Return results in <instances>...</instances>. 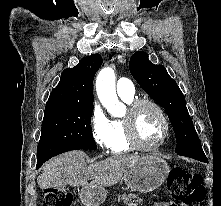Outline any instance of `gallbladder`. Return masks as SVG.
I'll list each match as a JSON object with an SVG mask.
<instances>
[{
	"label": "gallbladder",
	"instance_id": "bac80fb5",
	"mask_svg": "<svg viewBox=\"0 0 221 206\" xmlns=\"http://www.w3.org/2000/svg\"><path fill=\"white\" fill-rule=\"evenodd\" d=\"M60 184H64L63 181L54 180V181H39V186L41 190H57Z\"/></svg>",
	"mask_w": 221,
	"mask_h": 206
}]
</instances>
